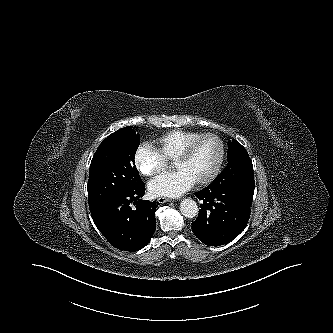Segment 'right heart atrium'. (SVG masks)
Segmentation results:
<instances>
[{
	"label": "right heart atrium",
	"mask_w": 333,
	"mask_h": 333,
	"mask_svg": "<svg viewBox=\"0 0 333 333\" xmlns=\"http://www.w3.org/2000/svg\"><path fill=\"white\" fill-rule=\"evenodd\" d=\"M133 161L138 172L145 177H153L167 166V160L147 145H141L136 149Z\"/></svg>",
	"instance_id": "obj_1"
}]
</instances>
